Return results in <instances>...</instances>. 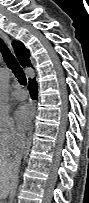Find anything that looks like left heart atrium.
<instances>
[{
	"instance_id": "39dd6f15",
	"label": "left heart atrium",
	"mask_w": 89,
	"mask_h": 203,
	"mask_svg": "<svg viewBox=\"0 0 89 203\" xmlns=\"http://www.w3.org/2000/svg\"><path fill=\"white\" fill-rule=\"evenodd\" d=\"M17 124L22 131H26L32 122L33 112L27 105L20 106L15 112Z\"/></svg>"
}]
</instances>
